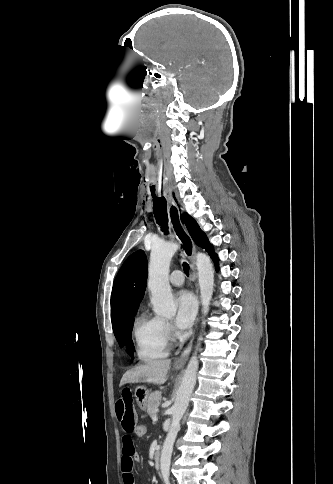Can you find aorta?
<instances>
[{
  "label": "aorta",
  "instance_id": "obj_1",
  "mask_svg": "<svg viewBox=\"0 0 333 484\" xmlns=\"http://www.w3.org/2000/svg\"><path fill=\"white\" fill-rule=\"evenodd\" d=\"M179 248V244L171 241L154 246L150 255L148 289L151 292V303L156 314L171 317L176 314V304L169 284V267L173 255ZM196 265L199 277L200 298L202 313L209 311L210 301L214 290V269L210 258L201 252L196 255ZM205 325V322H202ZM202 336L185 369L181 385L177 391L174 405L172 406V421L168 434L161 450L160 471L165 484H170V465L173 446L180 430V421L188 407L191 393L195 387L199 361L197 351L200 347Z\"/></svg>",
  "mask_w": 333,
  "mask_h": 484
}]
</instances>
